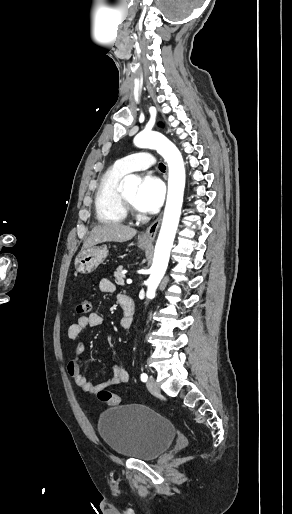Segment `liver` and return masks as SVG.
<instances>
[{
	"mask_svg": "<svg viewBox=\"0 0 292 514\" xmlns=\"http://www.w3.org/2000/svg\"><path fill=\"white\" fill-rule=\"evenodd\" d=\"M137 230L123 224H100L93 228L89 238H86L83 248H92L102 242H127L132 240Z\"/></svg>",
	"mask_w": 292,
	"mask_h": 514,
	"instance_id": "6515ba94",
	"label": "liver"
}]
</instances>
